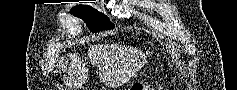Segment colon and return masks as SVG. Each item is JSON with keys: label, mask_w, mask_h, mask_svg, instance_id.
I'll list each match as a JSON object with an SVG mask.
<instances>
[{"label": "colon", "mask_w": 237, "mask_h": 90, "mask_svg": "<svg viewBox=\"0 0 237 90\" xmlns=\"http://www.w3.org/2000/svg\"><path fill=\"white\" fill-rule=\"evenodd\" d=\"M158 86L148 82H137L131 85L129 90H158Z\"/></svg>", "instance_id": "obj_1"}]
</instances>
